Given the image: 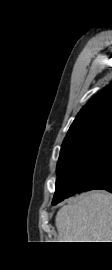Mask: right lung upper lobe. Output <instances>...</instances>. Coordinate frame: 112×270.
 I'll return each mask as SVG.
<instances>
[{
	"instance_id": "obj_1",
	"label": "right lung upper lobe",
	"mask_w": 112,
	"mask_h": 270,
	"mask_svg": "<svg viewBox=\"0 0 112 270\" xmlns=\"http://www.w3.org/2000/svg\"><path fill=\"white\" fill-rule=\"evenodd\" d=\"M106 123H112V84L83 106L70 126L64 141Z\"/></svg>"
}]
</instances>
